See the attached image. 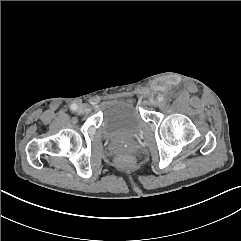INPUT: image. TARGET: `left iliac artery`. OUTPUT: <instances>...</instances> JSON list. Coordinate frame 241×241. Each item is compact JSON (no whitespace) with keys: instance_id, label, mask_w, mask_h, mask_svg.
Here are the masks:
<instances>
[{"instance_id":"left-iliac-artery-1","label":"left iliac artery","mask_w":241,"mask_h":241,"mask_svg":"<svg viewBox=\"0 0 241 241\" xmlns=\"http://www.w3.org/2000/svg\"><path fill=\"white\" fill-rule=\"evenodd\" d=\"M163 100H164V99H163L162 96H159V97H158V101H159V102H162Z\"/></svg>"}]
</instances>
